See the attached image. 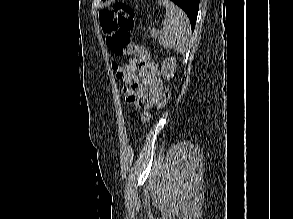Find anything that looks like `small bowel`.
<instances>
[{"instance_id": "1", "label": "small bowel", "mask_w": 293, "mask_h": 219, "mask_svg": "<svg viewBox=\"0 0 293 219\" xmlns=\"http://www.w3.org/2000/svg\"><path fill=\"white\" fill-rule=\"evenodd\" d=\"M123 81V93L128 103L148 109L160 102L163 82L155 64L148 63L139 72L126 74ZM146 119L147 115L143 117V120Z\"/></svg>"}]
</instances>
